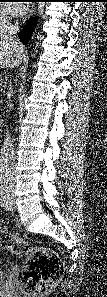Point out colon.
<instances>
[{
  "label": "colon",
  "instance_id": "colon-1",
  "mask_svg": "<svg viewBox=\"0 0 107 297\" xmlns=\"http://www.w3.org/2000/svg\"><path fill=\"white\" fill-rule=\"evenodd\" d=\"M0 247L13 253H27V262L20 278L22 290L38 296L50 291L63 273L58 256L45 247H28L16 235L1 231Z\"/></svg>",
  "mask_w": 107,
  "mask_h": 297
}]
</instances>
